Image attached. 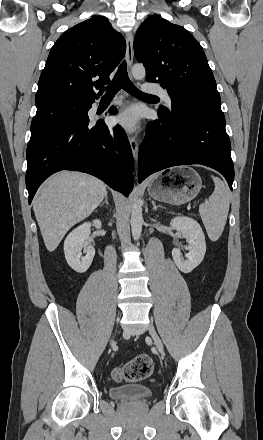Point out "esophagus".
<instances>
[{
  "label": "esophagus",
  "mask_w": 263,
  "mask_h": 440,
  "mask_svg": "<svg viewBox=\"0 0 263 440\" xmlns=\"http://www.w3.org/2000/svg\"><path fill=\"white\" fill-rule=\"evenodd\" d=\"M133 57H134V52H133V35L131 32H128L126 34V61H127V65L129 70L131 69V66L133 64ZM129 143L131 146V150H132V154L134 157V160H137L138 157V150H139V145H138V141L134 136H130L129 137Z\"/></svg>",
  "instance_id": "1"
}]
</instances>
